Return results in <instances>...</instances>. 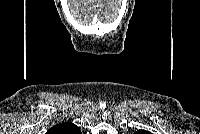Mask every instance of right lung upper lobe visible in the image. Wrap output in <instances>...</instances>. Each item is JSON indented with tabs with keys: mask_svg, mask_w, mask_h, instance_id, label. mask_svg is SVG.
I'll return each mask as SVG.
<instances>
[{
	"mask_svg": "<svg viewBox=\"0 0 200 134\" xmlns=\"http://www.w3.org/2000/svg\"><path fill=\"white\" fill-rule=\"evenodd\" d=\"M48 134H77L79 130L76 125L70 122H63L55 125L49 131Z\"/></svg>",
	"mask_w": 200,
	"mask_h": 134,
	"instance_id": "1",
	"label": "right lung upper lobe"
}]
</instances>
